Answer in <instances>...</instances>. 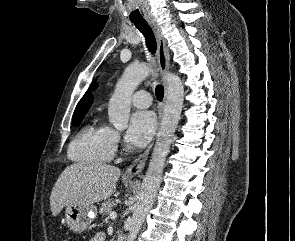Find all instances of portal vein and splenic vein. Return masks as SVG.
Returning <instances> with one entry per match:
<instances>
[{
  "instance_id": "18ae733b",
  "label": "portal vein and splenic vein",
  "mask_w": 295,
  "mask_h": 241,
  "mask_svg": "<svg viewBox=\"0 0 295 241\" xmlns=\"http://www.w3.org/2000/svg\"><path fill=\"white\" fill-rule=\"evenodd\" d=\"M109 216H110V218H116L117 214H116V212H111Z\"/></svg>"
}]
</instances>
